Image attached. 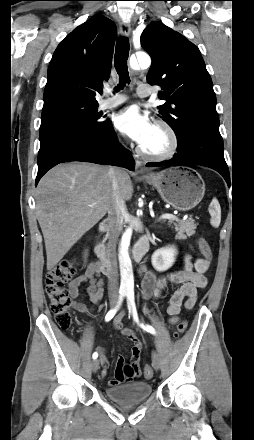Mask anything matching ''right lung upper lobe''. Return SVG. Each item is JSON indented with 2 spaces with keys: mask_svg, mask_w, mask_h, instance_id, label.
Wrapping results in <instances>:
<instances>
[{
  "mask_svg": "<svg viewBox=\"0 0 254 440\" xmlns=\"http://www.w3.org/2000/svg\"><path fill=\"white\" fill-rule=\"evenodd\" d=\"M115 36L114 22L99 14L68 34L50 61L44 103L63 96L96 101L110 76Z\"/></svg>",
  "mask_w": 254,
  "mask_h": 440,
  "instance_id": "cb5924a9",
  "label": "right lung upper lobe"
}]
</instances>
